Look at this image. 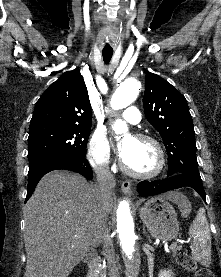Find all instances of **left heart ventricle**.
I'll use <instances>...</instances> for the list:
<instances>
[{
	"label": "left heart ventricle",
	"instance_id": "obj_1",
	"mask_svg": "<svg viewBox=\"0 0 221 277\" xmlns=\"http://www.w3.org/2000/svg\"><path fill=\"white\" fill-rule=\"evenodd\" d=\"M123 146L125 151L122 159L129 169L138 173H149L155 170L158 154L151 143L127 138Z\"/></svg>",
	"mask_w": 221,
	"mask_h": 277
}]
</instances>
